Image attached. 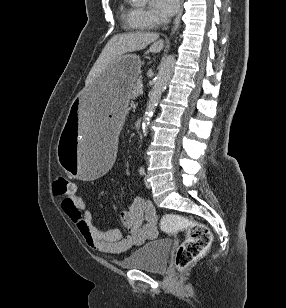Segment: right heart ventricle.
Segmentation results:
<instances>
[{"mask_svg": "<svg viewBox=\"0 0 286 308\" xmlns=\"http://www.w3.org/2000/svg\"><path fill=\"white\" fill-rule=\"evenodd\" d=\"M138 9L122 3L119 9L122 24L125 29L131 31H143L146 28L141 24Z\"/></svg>", "mask_w": 286, "mask_h": 308, "instance_id": "e07e8e85", "label": "right heart ventricle"}]
</instances>
